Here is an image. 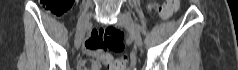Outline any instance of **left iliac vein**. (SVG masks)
<instances>
[{
	"mask_svg": "<svg viewBox=\"0 0 238 70\" xmlns=\"http://www.w3.org/2000/svg\"><path fill=\"white\" fill-rule=\"evenodd\" d=\"M117 24L124 27L129 32L130 37L138 47L142 46L141 34L129 13H120L118 15Z\"/></svg>",
	"mask_w": 238,
	"mask_h": 70,
	"instance_id": "4c4485c4",
	"label": "left iliac vein"
}]
</instances>
